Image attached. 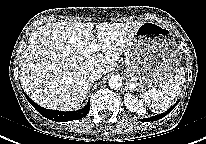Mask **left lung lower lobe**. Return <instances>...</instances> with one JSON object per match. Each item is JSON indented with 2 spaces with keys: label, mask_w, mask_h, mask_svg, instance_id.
<instances>
[{
  "label": "left lung lower lobe",
  "mask_w": 206,
  "mask_h": 144,
  "mask_svg": "<svg viewBox=\"0 0 206 144\" xmlns=\"http://www.w3.org/2000/svg\"><path fill=\"white\" fill-rule=\"evenodd\" d=\"M178 103V102H177ZM176 103V104H177ZM174 104L170 109H168L165 113H162V114H159V115H156V116H153V117H150V118H146V119H141V121H156V120H159L161 118H163L164 116H166L168 113H170V111L175 107Z\"/></svg>",
  "instance_id": "1"
}]
</instances>
